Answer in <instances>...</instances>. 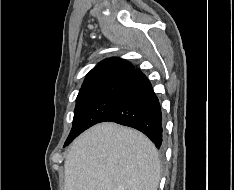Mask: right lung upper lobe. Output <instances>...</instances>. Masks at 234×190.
I'll use <instances>...</instances> for the list:
<instances>
[{
	"mask_svg": "<svg viewBox=\"0 0 234 190\" xmlns=\"http://www.w3.org/2000/svg\"><path fill=\"white\" fill-rule=\"evenodd\" d=\"M134 66L121 58L112 57L98 63L86 76L80 90L102 85L126 77Z\"/></svg>",
	"mask_w": 234,
	"mask_h": 190,
	"instance_id": "1",
	"label": "right lung upper lobe"
}]
</instances>
